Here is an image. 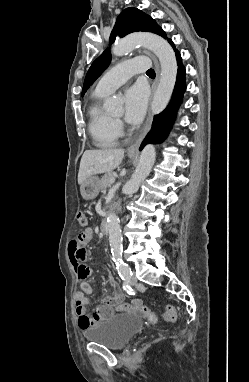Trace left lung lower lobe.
<instances>
[{
  "label": "left lung lower lobe",
  "mask_w": 249,
  "mask_h": 382,
  "mask_svg": "<svg viewBox=\"0 0 249 382\" xmlns=\"http://www.w3.org/2000/svg\"><path fill=\"white\" fill-rule=\"evenodd\" d=\"M168 42L172 45L176 52V58L178 63L177 79L175 88L173 91L172 99L168 107L159 115H156L153 120V125L150 132L145 137L144 141L141 144L140 150L148 143H159L162 142L172 127V124L175 119L177 108L181 102L183 93L186 89L185 85V68L182 64L181 55L175 49V46L171 39H168Z\"/></svg>",
  "instance_id": "0a47b994"
}]
</instances>
